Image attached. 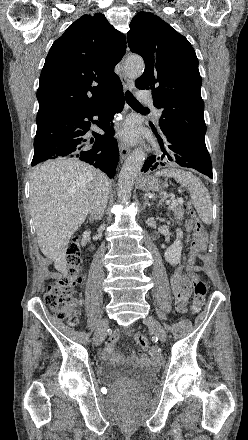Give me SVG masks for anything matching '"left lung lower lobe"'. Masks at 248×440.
<instances>
[{
  "label": "left lung lower lobe",
  "instance_id": "obj_1",
  "mask_svg": "<svg viewBox=\"0 0 248 440\" xmlns=\"http://www.w3.org/2000/svg\"><path fill=\"white\" fill-rule=\"evenodd\" d=\"M162 136H157L162 152L156 162L155 156L145 161L142 171L153 170L158 165L165 166L175 163L183 167L193 168L213 178L211 158L205 140L196 139L174 129L162 128Z\"/></svg>",
  "mask_w": 248,
  "mask_h": 440
}]
</instances>
